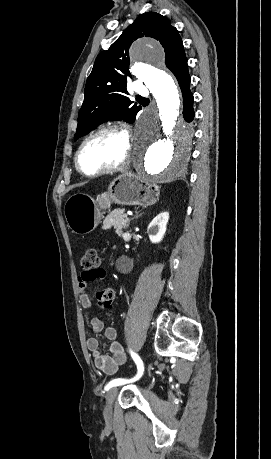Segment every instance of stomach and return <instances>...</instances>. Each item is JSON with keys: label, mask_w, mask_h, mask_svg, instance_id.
I'll list each match as a JSON object with an SVG mask.
<instances>
[{"label": "stomach", "mask_w": 271, "mask_h": 459, "mask_svg": "<svg viewBox=\"0 0 271 459\" xmlns=\"http://www.w3.org/2000/svg\"><path fill=\"white\" fill-rule=\"evenodd\" d=\"M159 194V186L152 180L123 172L97 200L87 194H73L65 204L64 216L73 233L84 235L97 228L102 220L101 210H107L111 202L121 206H152L159 200Z\"/></svg>", "instance_id": "1"}]
</instances>
